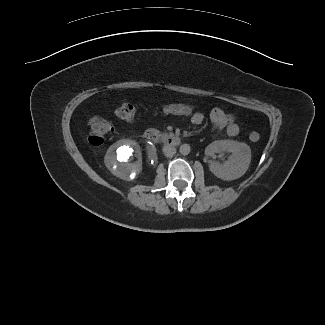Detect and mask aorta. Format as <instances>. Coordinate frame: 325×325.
<instances>
[{
  "label": "aorta",
  "mask_w": 325,
  "mask_h": 325,
  "mask_svg": "<svg viewBox=\"0 0 325 325\" xmlns=\"http://www.w3.org/2000/svg\"><path fill=\"white\" fill-rule=\"evenodd\" d=\"M190 145L189 144H182L179 148V152L182 155H188L190 153Z\"/></svg>",
  "instance_id": "1"
}]
</instances>
